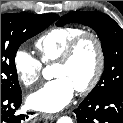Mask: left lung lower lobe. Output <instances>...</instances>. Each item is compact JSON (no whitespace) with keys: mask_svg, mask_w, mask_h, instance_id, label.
I'll return each instance as SVG.
<instances>
[{"mask_svg":"<svg viewBox=\"0 0 123 123\" xmlns=\"http://www.w3.org/2000/svg\"><path fill=\"white\" fill-rule=\"evenodd\" d=\"M74 112L78 123H123V90L88 95Z\"/></svg>","mask_w":123,"mask_h":123,"instance_id":"obj_1","label":"left lung lower lobe"}]
</instances>
